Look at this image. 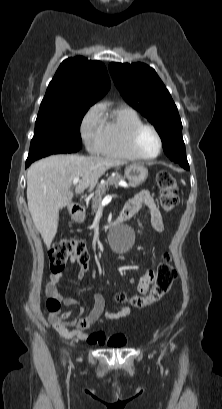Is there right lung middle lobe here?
Here are the masks:
<instances>
[{
    "mask_svg": "<svg viewBox=\"0 0 222 409\" xmlns=\"http://www.w3.org/2000/svg\"><path fill=\"white\" fill-rule=\"evenodd\" d=\"M91 105L40 109L27 163L51 154L77 152L82 146L80 124Z\"/></svg>",
    "mask_w": 222,
    "mask_h": 409,
    "instance_id": "right-lung-middle-lobe-1",
    "label": "right lung middle lobe"
}]
</instances>
